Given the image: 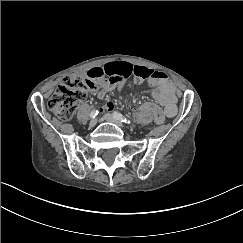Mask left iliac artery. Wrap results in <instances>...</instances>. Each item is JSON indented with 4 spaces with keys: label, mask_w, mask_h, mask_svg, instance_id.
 Listing matches in <instances>:
<instances>
[{
    "label": "left iliac artery",
    "mask_w": 243,
    "mask_h": 243,
    "mask_svg": "<svg viewBox=\"0 0 243 243\" xmlns=\"http://www.w3.org/2000/svg\"><path fill=\"white\" fill-rule=\"evenodd\" d=\"M113 116L118 119L119 121L126 123V124H130L131 121L129 119H127L126 117H124L122 114H120L119 112H114Z\"/></svg>",
    "instance_id": "left-iliac-artery-1"
}]
</instances>
